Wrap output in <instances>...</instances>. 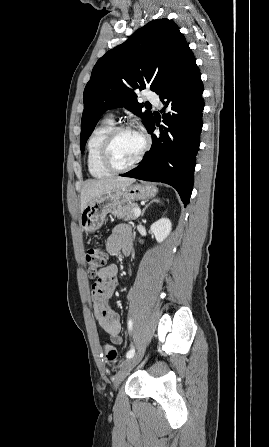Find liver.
Instances as JSON below:
<instances>
[{
	"label": "liver",
	"instance_id": "6515ba94",
	"mask_svg": "<svg viewBox=\"0 0 269 447\" xmlns=\"http://www.w3.org/2000/svg\"><path fill=\"white\" fill-rule=\"evenodd\" d=\"M135 182L134 178H101V180H87L83 190H81V212L86 208L88 202L95 200L97 196L108 194L113 190H121L126 186H131Z\"/></svg>",
	"mask_w": 269,
	"mask_h": 447
}]
</instances>
